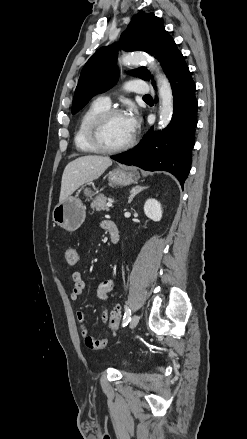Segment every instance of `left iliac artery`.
I'll return each instance as SVG.
<instances>
[{"mask_svg": "<svg viewBox=\"0 0 247 439\" xmlns=\"http://www.w3.org/2000/svg\"><path fill=\"white\" fill-rule=\"evenodd\" d=\"M125 309V314H124V318H123V322H122V326H126L128 324V322L131 320V311L130 308L125 305L124 306Z\"/></svg>", "mask_w": 247, "mask_h": 439, "instance_id": "44dca946", "label": "left iliac artery"}]
</instances>
